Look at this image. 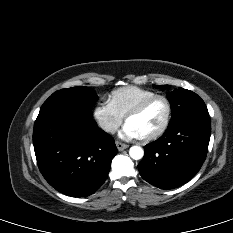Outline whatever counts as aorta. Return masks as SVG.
Here are the masks:
<instances>
[{
	"mask_svg": "<svg viewBox=\"0 0 233 233\" xmlns=\"http://www.w3.org/2000/svg\"><path fill=\"white\" fill-rule=\"evenodd\" d=\"M129 155L134 160H140L144 156V150L140 146H132L129 149Z\"/></svg>",
	"mask_w": 233,
	"mask_h": 233,
	"instance_id": "obj_1",
	"label": "aorta"
}]
</instances>
